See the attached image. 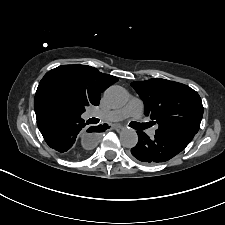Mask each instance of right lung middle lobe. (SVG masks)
<instances>
[{
	"mask_svg": "<svg viewBox=\"0 0 225 225\" xmlns=\"http://www.w3.org/2000/svg\"><path fill=\"white\" fill-rule=\"evenodd\" d=\"M42 97L72 112H85V102L74 92L60 83H50L42 89Z\"/></svg>",
	"mask_w": 225,
	"mask_h": 225,
	"instance_id": "obj_1",
	"label": "right lung middle lobe"
}]
</instances>
